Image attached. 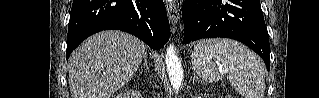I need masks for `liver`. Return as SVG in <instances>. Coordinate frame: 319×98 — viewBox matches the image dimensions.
<instances>
[{"label":"liver","mask_w":319,"mask_h":98,"mask_svg":"<svg viewBox=\"0 0 319 98\" xmlns=\"http://www.w3.org/2000/svg\"><path fill=\"white\" fill-rule=\"evenodd\" d=\"M145 54L146 44L121 31L89 37L70 55L72 98H110L132 79Z\"/></svg>","instance_id":"6515ba94"}]
</instances>
